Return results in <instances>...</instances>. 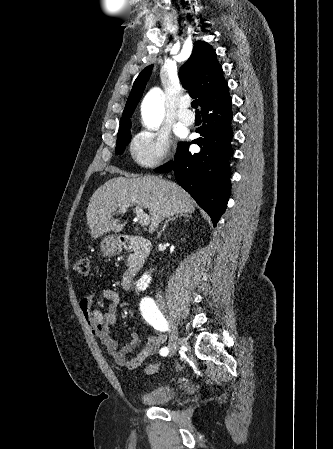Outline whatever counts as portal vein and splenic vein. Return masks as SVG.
Returning a JSON list of instances; mask_svg holds the SVG:
<instances>
[{"label":"portal vein and splenic vein","instance_id":"18ae733b","mask_svg":"<svg viewBox=\"0 0 333 449\" xmlns=\"http://www.w3.org/2000/svg\"><path fill=\"white\" fill-rule=\"evenodd\" d=\"M128 207H129V205L122 206V207H120V210L125 212ZM135 213L138 217V220H139V223L141 226L149 225L150 217H149V215L145 214L144 211L140 207H138V206L135 207Z\"/></svg>","mask_w":333,"mask_h":449}]
</instances>
